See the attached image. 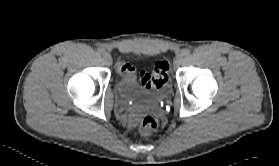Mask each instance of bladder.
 Masks as SVG:
<instances>
[{"instance_id": "31cf9c89", "label": "bladder", "mask_w": 279, "mask_h": 166, "mask_svg": "<svg viewBox=\"0 0 279 166\" xmlns=\"http://www.w3.org/2000/svg\"><path fill=\"white\" fill-rule=\"evenodd\" d=\"M119 89L122 96L126 99H141V95L143 93L133 74L130 76H123L121 78L119 82Z\"/></svg>"}]
</instances>
